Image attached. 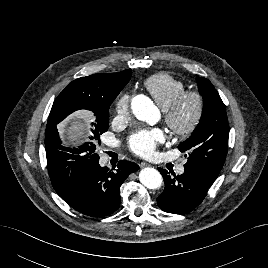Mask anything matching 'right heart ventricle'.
<instances>
[{
	"label": "right heart ventricle",
	"instance_id": "1",
	"mask_svg": "<svg viewBox=\"0 0 268 268\" xmlns=\"http://www.w3.org/2000/svg\"><path fill=\"white\" fill-rule=\"evenodd\" d=\"M143 85L162 110H165L180 93L185 91L183 82L165 73L150 76Z\"/></svg>",
	"mask_w": 268,
	"mask_h": 268
}]
</instances>
